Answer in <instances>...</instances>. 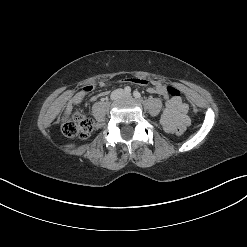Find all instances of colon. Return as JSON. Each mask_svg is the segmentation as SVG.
I'll return each instance as SVG.
<instances>
[{"instance_id":"1","label":"colon","mask_w":247,"mask_h":247,"mask_svg":"<svg viewBox=\"0 0 247 247\" xmlns=\"http://www.w3.org/2000/svg\"><path fill=\"white\" fill-rule=\"evenodd\" d=\"M168 95L173 98H180L178 89L172 86L166 87ZM93 128L92 120L86 118L81 112L76 111L72 115H65L62 120L61 129L65 136L69 138L86 137ZM185 132L184 126H178L175 129L177 135H182Z\"/></svg>"}]
</instances>
